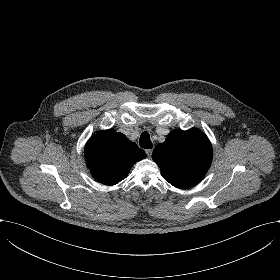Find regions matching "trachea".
Listing matches in <instances>:
<instances>
[{"mask_svg": "<svg viewBox=\"0 0 280 280\" xmlns=\"http://www.w3.org/2000/svg\"><path fill=\"white\" fill-rule=\"evenodd\" d=\"M139 144L142 148H145V149L152 148V142L150 140V136H149L148 132H143L141 134Z\"/></svg>", "mask_w": 280, "mask_h": 280, "instance_id": "3493384b", "label": "trachea"}]
</instances>
